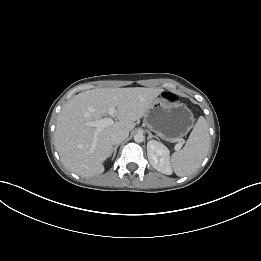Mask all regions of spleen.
<instances>
[{
    "label": "spleen",
    "instance_id": "1",
    "mask_svg": "<svg viewBox=\"0 0 261 261\" xmlns=\"http://www.w3.org/2000/svg\"><path fill=\"white\" fill-rule=\"evenodd\" d=\"M210 147L208 124L199 117L185 146L171 156V165L179 177L194 173L201 165Z\"/></svg>",
    "mask_w": 261,
    "mask_h": 261
}]
</instances>
